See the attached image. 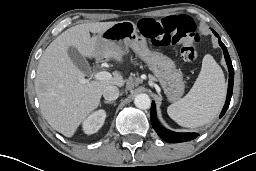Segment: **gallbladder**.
Returning <instances> with one entry per match:
<instances>
[{
  "label": "gallbladder",
  "instance_id": "bac80fb5",
  "mask_svg": "<svg viewBox=\"0 0 256 171\" xmlns=\"http://www.w3.org/2000/svg\"><path fill=\"white\" fill-rule=\"evenodd\" d=\"M68 56L71 61L82 71L87 72L90 69L88 62L82 56V54L73 46H70L67 50Z\"/></svg>",
  "mask_w": 256,
  "mask_h": 171
}]
</instances>
